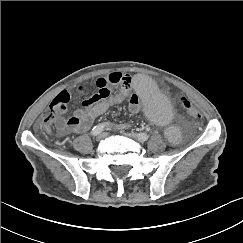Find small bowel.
Listing matches in <instances>:
<instances>
[{
    "label": "small bowel",
    "instance_id": "1",
    "mask_svg": "<svg viewBox=\"0 0 243 243\" xmlns=\"http://www.w3.org/2000/svg\"><path fill=\"white\" fill-rule=\"evenodd\" d=\"M133 79L129 75L121 73H111L99 77L96 82L97 91L88 99L81 103L80 109L76 110L73 115L65 119L62 117L65 111L58 113L55 124L58 132L62 135L70 132L84 133L91 127L92 123L101 115L106 113L111 107L122 103L129 95ZM113 88L118 91L113 93ZM87 90L85 85H79L76 88L77 94H83ZM140 97L133 94L129 110L136 114L140 110ZM126 126H123L125 128Z\"/></svg>",
    "mask_w": 243,
    "mask_h": 243
}]
</instances>
